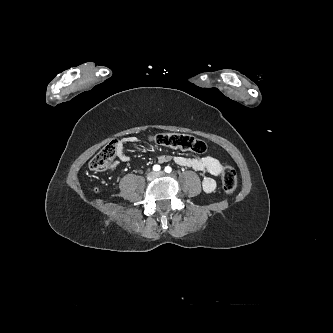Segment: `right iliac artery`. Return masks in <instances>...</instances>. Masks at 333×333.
Returning <instances> with one entry per match:
<instances>
[{
  "instance_id": "1",
  "label": "right iliac artery",
  "mask_w": 333,
  "mask_h": 333,
  "mask_svg": "<svg viewBox=\"0 0 333 333\" xmlns=\"http://www.w3.org/2000/svg\"><path fill=\"white\" fill-rule=\"evenodd\" d=\"M160 169H161V167L158 164H156V165L153 166V170L156 171V172L160 171Z\"/></svg>"
}]
</instances>
